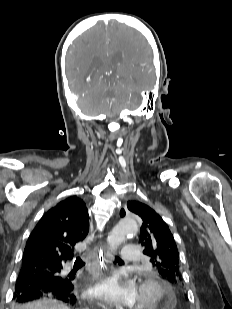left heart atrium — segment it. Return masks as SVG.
Instances as JSON below:
<instances>
[{"mask_svg":"<svg viewBox=\"0 0 232 309\" xmlns=\"http://www.w3.org/2000/svg\"><path fill=\"white\" fill-rule=\"evenodd\" d=\"M91 294L102 302L118 309L134 306L137 299L135 285L117 276L98 279L91 288Z\"/></svg>","mask_w":232,"mask_h":309,"instance_id":"1","label":"left heart atrium"}]
</instances>
